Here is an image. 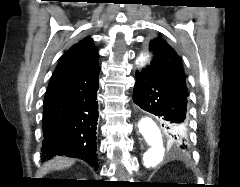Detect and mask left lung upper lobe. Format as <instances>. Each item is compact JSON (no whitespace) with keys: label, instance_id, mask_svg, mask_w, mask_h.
Instances as JSON below:
<instances>
[{"label":"left lung upper lobe","instance_id":"obj_1","mask_svg":"<svg viewBox=\"0 0 240 187\" xmlns=\"http://www.w3.org/2000/svg\"><path fill=\"white\" fill-rule=\"evenodd\" d=\"M149 49L153 53V60L150 64L151 69L164 80L187 89L183 65L176 51L162 39L160 35L150 41ZM163 126L166 129L165 123H163ZM175 129L179 133L184 134V137H182L183 139H188L187 127L176 125ZM166 134L169 143L174 144V142L170 140L167 130ZM186 145H188V143H186ZM178 146L181 145L179 144Z\"/></svg>","mask_w":240,"mask_h":187}]
</instances>
